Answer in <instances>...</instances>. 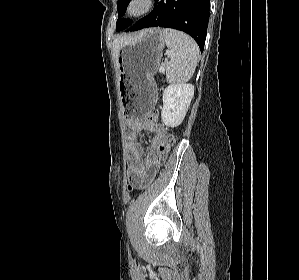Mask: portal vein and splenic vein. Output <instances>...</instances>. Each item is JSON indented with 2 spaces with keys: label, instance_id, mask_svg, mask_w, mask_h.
<instances>
[{
  "label": "portal vein and splenic vein",
  "instance_id": "18ae733b",
  "mask_svg": "<svg viewBox=\"0 0 299 280\" xmlns=\"http://www.w3.org/2000/svg\"><path fill=\"white\" fill-rule=\"evenodd\" d=\"M168 55L170 56L171 54L168 53ZM164 71H165V68H164L163 65H161L160 68H159V72L163 73Z\"/></svg>",
  "mask_w": 299,
  "mask_h": 280
}]
</instances>
